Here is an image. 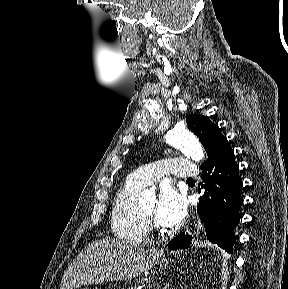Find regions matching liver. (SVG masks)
Returning a JSON list of instances; mask_svg holds the SVG:
<instances>
[{
    "instance_id": "6515ba94",
    "label": "liver",
    "mask_w": 288,
    "mask_h": 289,
    "mask_svg": "<svg viewBox=\"0 0 288 289\" xmlns=\"http://www.w3.org/2000/svg\"><path fill=\"white\" fill-rule=\"evenodd\" d=\"M162 255V249H144L111 239L96 240L88 244L64 272L60 289L131 280L153 267Z\"/></svg>"
}]
</instances>
